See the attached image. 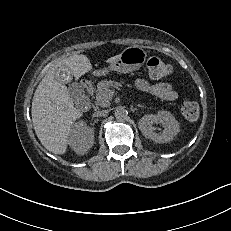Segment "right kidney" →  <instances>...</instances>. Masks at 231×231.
<instances>
[{
  "label": "right kidney",
  "mask_w": 231,
  "mask_h": 231,
  "mask_svg": "<svg viewBox=\"0 0 231 231\" xmlns=\"http://www.w3.org/2000/svg\"><path fill=\"white\" fill-rule=\"evenodd\" d=\"M68 144L78 155H84L94 144V129L84 121L74 124L68 139Z\"/></svg>",
  "instance_id": "ca27d5eb"
}]
</instances>
